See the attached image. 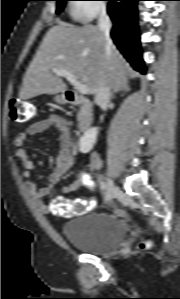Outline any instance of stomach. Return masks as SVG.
Here are the masks:
<instances>
[{"label":"stomach","mask_w":180,"mask_h":299,"mask_svg":"<svg viewBox=\"0 0 180 299\" xmlns=\"http://www.w3.org/2000/svg\"><path fill=\"white\" fill-rule=\"evenodd\" d=\"M54 100L58 104H65V103H67V100H66L64 94H62V95H56L55 98H54Z\"/></svg>","instance_id":"stomach-1"}]
</instances>
